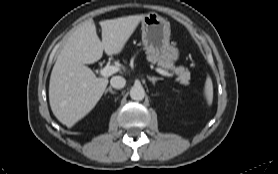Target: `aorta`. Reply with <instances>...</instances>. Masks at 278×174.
I'll return each mask as SVG.
<instances>
[{"label": "aorta", "instance_id": "aorta-1", "mask_svg": "<svg viewBox=\"0 0 278 174\" xmlns=\"http://www.w3.org/2000/svg\"><path fill=\"white\" fill-rule=\"evenodd\" d=\"M130 97L135 101H141L145 97V90L141 85H134L130 89Z\"/></svg>", "mask_w": 278, "mask_h": 174}]
</instances>
